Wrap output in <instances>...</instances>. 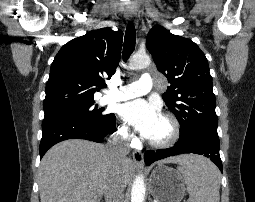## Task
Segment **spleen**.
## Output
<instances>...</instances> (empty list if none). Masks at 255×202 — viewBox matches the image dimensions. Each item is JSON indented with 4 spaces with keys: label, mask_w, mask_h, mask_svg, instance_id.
Listing matches in <instances>:
<instances>
[{
    "label": "spleen",
    "mask_w": 255,
    "mask_h": 202,
    "mask_svg": "<svg viewBox=\"0 0 255 202\" xmlns=\"http://www.w3.org/2000/svg\"><path fill=\"white\" fill-rule=\"evenodd\" d=\"M182 173L190 202H219L221 175L218 168L208 159L191 155L178 167Z\"/></svg>",
    "instance_id": "obj_1"
}]
</instances>
